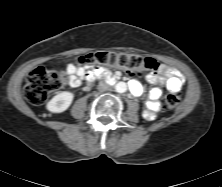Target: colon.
<instances>
[{
  "instance_id": "1",
  "label": "colon",
  "mask_w": 222,
  "mask_h": 187,
  "mask_svg": "<svg viewBox=\"0 0 222 187\" xmlns=\"http://www.w3.org/2000/svg\"><path fill=\"white\" fill-rule=\"evenodd\" d=\"M77 64L83 67L88 74L95 71H107L110 68H121L129 73H135L143 70L153 71L158 67L157 61L150 57L108 51L80 56ZM66 81L67 76L63 72L36 67L27 77L24 96L31 104H42L51 92L60 89ZM179 102L178 94L168 93L164 98V107L172 110L178 106Z\"/></svg>"
}]
</instances>
